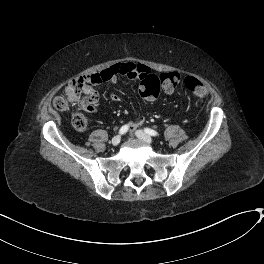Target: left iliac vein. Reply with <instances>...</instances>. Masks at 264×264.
<instances>
[{"label": "left iliac vein", "instance_id": "left-iliac-vein-1", "mask_svg": "<svg viewBox=\"0 0 264 264\" xmlns=\"http://www.w3.org/2000/svg\"><path fill=\"white\" fill-rule=\"evenodd\" d=\"M136 137H138L139 139L143 140L144 142L148 143V144H152L153 143V139L144 131L142 130H137L135 132Z\"/></svg>", "mask_w": 264, "mask_h": 264}]
</instances>
